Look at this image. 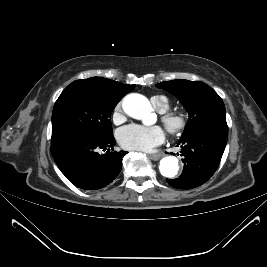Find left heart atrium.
Returning <instances> with one entry per match:
<instances>
[{"instance_id":"39dd6f15","label":"left heart atrium","mask_w":267,"mask_h":267,"mask_svg":"<svg viewBox=\"0 0 267 267\" xmlns=\"http://www.w3.org/2000/svg\"><path fill=\"white\" fill-rule=\"evenodd\" d=\"M118 141L128 150L151 151L163 143L164 131L159 126H143L130 124L121 128L117 133Z\"/></svg>"}]
</instances>
